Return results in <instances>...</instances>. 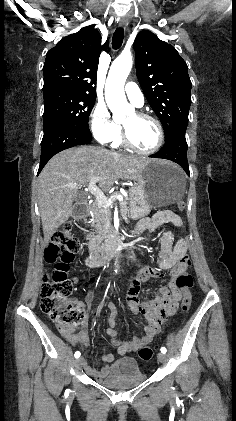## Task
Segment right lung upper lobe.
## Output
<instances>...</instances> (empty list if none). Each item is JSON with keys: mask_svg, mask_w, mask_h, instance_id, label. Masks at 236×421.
Listing matches in <instances>:
<instances>
[{"mask_svg": "<svg viewBox=\"0 0 236 421\" xmlns=\"http://www.w3.org/2000/svg\"><path fill=\"white\" fill-rule=\"evenodd\" d=\"M101 36L94 26L61 39L46 55L43 90L61 89L96 97L97 62Z\"/></svg>", "mask_w": 236, "mask_h": 421, "instance_id": "obj_1", "label": "right lung upper lobe"}]
</instances>
